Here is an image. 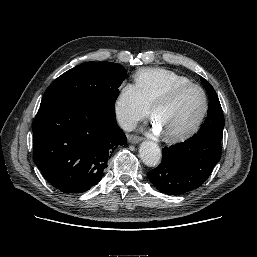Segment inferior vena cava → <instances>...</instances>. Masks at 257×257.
<instances>
[{
    "label": "inferior vena cava",
    "instance_id": "1",
    "mask_svg": "<svg viewBox=\"0 0 257 257\" xmlns=\"http://www.w3.org/2000/svg\"><path fill=\"white\" fill-rule=\"evenodd\" d=\"M119 125L125 131H132L136 128L137 120L135 117L125 114H119L117 116Z\"/></svg>",
    "mask_w": 257,
    "mask_h": 257
}]
</instances>
